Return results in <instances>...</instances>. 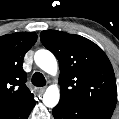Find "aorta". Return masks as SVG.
<instances>
[{
	"label": "aorta",
	"mask_w": 119,
	"mask_h": 119,
	"mask_svg": "<svg viewBox=\"0 0 119 119\" xmlns=\"http://www.w3.org/2000/svg\"><path fill=\"white\" fill-rule=\"evenodd\" d=\"M35 63L39 68L48 74L54 75L58 65L55 56L46 49L36 51L34 56ZM60 99V91L56 85L49 86L43 96V103L49 108L55 107Z\"/></svg>",
	"instance_id": "762f6f07"
}]
</instances>
